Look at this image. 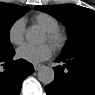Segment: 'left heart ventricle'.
<instances>
[{"label": "left heart ventricle", "mask_w": 95, "mask_h": 95, "mask_svg": "<svg viewBox=\"0 0 95 95\" xmlns=\"http://www.w3.org/2000/svg\"><path fill=\"white\" fill-rule=\"evenodd\" d=\"M46 41H47V36H45V37H44V40H43V42H46Z\"/></svg>", "instance_id": "b2bd125f"}]
</instances>
